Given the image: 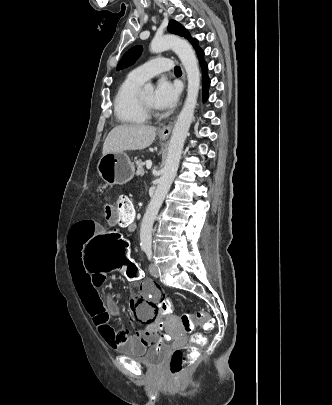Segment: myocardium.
<instances>
[{"mask_svg": "<svg viewBox=\"0 0 332 405\" xmlns=\"http://www.w3.org/2000/svg\"><path fill=\"white\" fill-rule=\"evenodd\" d=\"M138 101L139 104L142 108V110L144 111V113L148 116V117H154L157 115L156 110L154 109V107L146 104L143 99L141 98V96L138 97Z\"/></svg>", "mask_w": 332, "mask_h": 405, "instance_id": "myocardium-1", "label": "myocardium"}]
</instances>
